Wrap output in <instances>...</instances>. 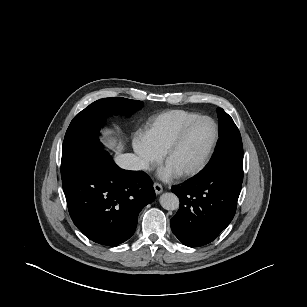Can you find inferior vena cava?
Masks as SVG:
<instances>
[{
	"mask_svg": "<svg viewBox=\"0 0 307 307\" xmlns=\"http://www.w3.org/2000/svg\"><path fill=\"white\" fill-rule=\"evenodd\" d=\"M116 163L119 167L127 170H144L147 167L145 161L131 153L119 155L116 158Z\"/></svg>",
	"mask_w": 307,
	"mask_h": 307,
	"instance_id": "1",
	"label": "inferior vena cava"
}]
</instances>
